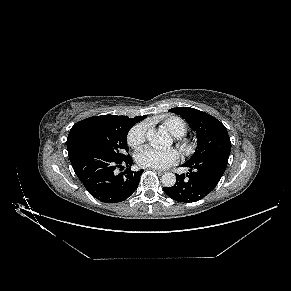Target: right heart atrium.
<instances>
[{"instance_id":"right-heart-atrium-1","label":"right heart atrium","mask_w":291,"mask_h":291,"mask_svg":"<svg viewBox=\"0 0 291 291\" xmlns=\"http://www.w3.org/2000/svg\"><path fill=\"white\" fill-rule=\"evenodd\" d=\"M147 125L140 123L134 126L128 133V144L133 148L141 146L146 139Z\"/></svg>"}]
</instances>
